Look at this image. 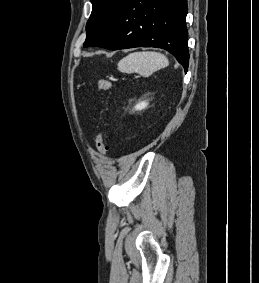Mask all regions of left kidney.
I'll return each mask as SVG.
<instances>
[{
	"label": "left kidney",
	"mask_w": 259,
	"mask_h": 283,
	"mask_svg": "<svg viewBox=\"0 0 259 283\" xmlns=\"http://www.w3.org/2000/svg\"><path fill=\"white\" fill-rule=\"evenodd\" d=\"M147 106H148V102L147 101H142V102H139L138 104H136L134 109L136 111H138V110L140 111V110L145 109Z\"/></svg>",
	"instance_id": "left-kidney-1"
}]
</instances>
